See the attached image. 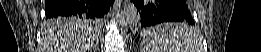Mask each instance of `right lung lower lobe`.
<instances>
[{"mask_svg": "<svg viewBox=\"0 0 261 52\" xmlns=\"http://www.w3.org/2000/svg\"><path fill=\"white\" fill-rule=\"evenodd\" d=\"M112 0H45L46 18L84 16L98 20L109 10Z\"/></svg>", "mask_w": 261, "mask_h": 52, "instance_id": "1", "label": "right lung lower lobe"}]
</instances>
